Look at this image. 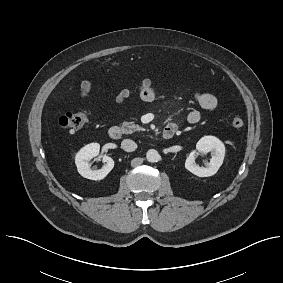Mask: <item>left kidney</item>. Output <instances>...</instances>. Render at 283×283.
<instances>
[{
  "label": "left kidney",
  "mask_w": 283,
  "mask_h": 283,
  "mask_svg": "<svg viewBox=\"0 0 283 283\" xmlns=\"http://www.w3.org/2000/svg\"><path fill=\"white\" fill-rule=\"evenodd\" d=\"M197 152H211L210 162L205 167H200L195 162ZM225 156L224 144L214 136H204L196 144V150L192 151L185 161V168L198 177H209L217 173Z\"/></svg>",
  "instance_id": "obj_1"
}]
</instances>
